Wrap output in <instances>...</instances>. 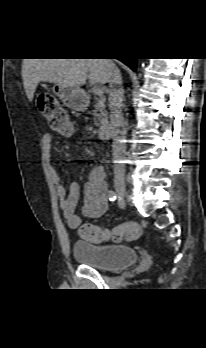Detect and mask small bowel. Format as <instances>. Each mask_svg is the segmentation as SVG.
I'll return each mask as SVG.
<instances>
[{"label": "small bowel", "mask_w": 206, "mask_h": 348, "mask_svg": "<svg viewBox=\"0 0 206 348\" xmlns=\"http://www.w3.org/2000/svg\"><path fill=\"white\" fill-rule=\"evenodd\" d=\"M52 141L53 137L50 133H45L43 135L42 144L47 158L50 157ZM48 169L56 186V192L60 199V207L67 225L72 229L79 228L82 224V217L75 212L80 196L78 184L71 183L66 187L60 173L50 162L48 164ZM108 207L109 200L104 171L101 167H94L88 174L84 186L83 204L81 207L82 215L90 219H97L108 210Z\"/></svg>", "instance_id": "obj_1"}]
</instances>
